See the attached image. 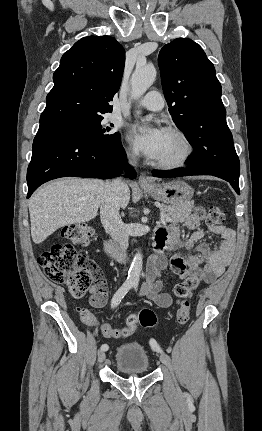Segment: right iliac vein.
Here are the masks:
<instances>
[{
  "label": "right iliac vein",
  "mask_w": 262,
  "mask_h": 431,
  "mask_svg": "<svg viewBox=\"0 0 262 431\" xmlns=\"http://www.w3.org/2000/svg\"><path fill=\"white\" fill-rule=\"evenodd\" d=\"M106 358V353L103 350L98 352V361L103 362Z\"/></svg>",
  "instance_id": "right-iliac-vein-1"
}]
</instances>
